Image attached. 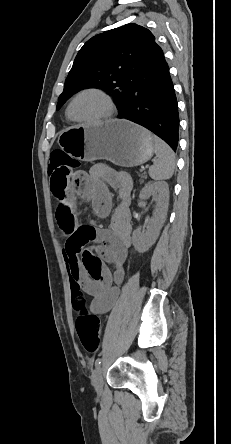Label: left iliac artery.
<instances>
[{
  "label": "left iliac artery",
  "instance_id": "44dca946",
  "mask_svg": "<svg viewBox=\"0 0 231 444\" xmlns=\"http://www.w3.org/2000/svg\"><path fill=\"white\" fill-rule=\"evenodd\" d=\"M100 364H101V358H97L96 361H95L96 368L99 367Z\"/></svg>",
  "mask_w": 231,
  "mask_h": 444
}]
</instances>
